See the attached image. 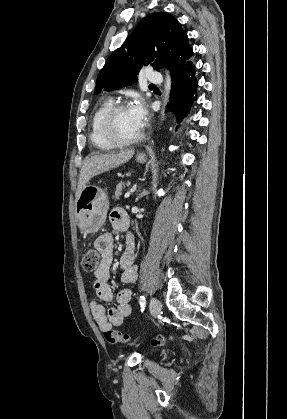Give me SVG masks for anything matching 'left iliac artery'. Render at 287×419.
I'll list each match as a JSON object with an SVG mask.
<instances>
[{
    "label": "left iliac artery",
    "mask_w": 287,
    "mask_h": 419,
    "mask_svg": "<svg viewBox=\"0 0 287 419\" xmlns=\"http://www.w3.org/2000/svg\"><path fill=\"white\" fill-rule=\"evenodd\" d=\"M139 304H140V306H141V311L143 312L144 311V308H145V305H146V299H145V296H143V295H141L140 297H139Z\"/></svg>",
    "instance_id": "left-iliac-artery-1"
}]
</instances>
